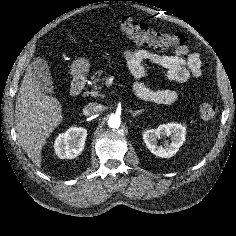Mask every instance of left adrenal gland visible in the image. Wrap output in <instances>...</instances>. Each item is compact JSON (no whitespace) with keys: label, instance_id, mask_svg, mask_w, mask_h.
Masks as SVG:
<instances>
[{"label":"left adrenal gland","instance_id":"left-adrenal-gland-1","mask_svg":"<svg viewBox=\"0 0 236 236\" xmlns=\"http://www.w3.org/2000/svg\"><path fill=\"white\" fill-rule=\"evenodd\" d=\"M143 111H144V109H141V110H136V111H130L131 112V115L133 116V117H135V116H137L138 114H141V113H143Z\"/></svg>","mask_w":236,"mask_h":236}]
</instances>
